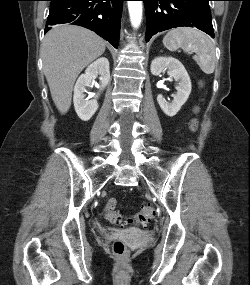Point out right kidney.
Returning a JSON list of instances; mask_svg holds the SVG:
<instances>
[{
	"label": "right kidney",
	"mask_w": 250,
	"mask_h": 285,
	"mask_svg": "<svg viewBox=\"0 0 250 285\" xmlns=\"http://www.w3.org/2000/svg\"><path fill=\"white\" fill-rule=\"evenodd\" d=\"M98 75L100 90L102 91L110 82L109 61L105 57H101L90 64L75 84L73 96L74 107L77 115L83 121H88L98 109L97 99L99 94L95 95L91 100L84 99L86 87H89Z\"/></svg>",
	"instance_id": "1"
}]
</instances>
